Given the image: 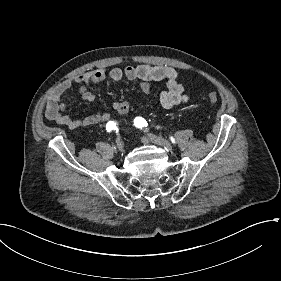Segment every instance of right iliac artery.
I'll use <instances>...</instances> for the list:
<instances>
[{"instance_id": "82829eb1", "label": "right iliac artery", "mask_w": 281, "mask_h": 281, "mask_svg": "<svg viewBox=\"0 0 281 281\" xmlns=\"http://www.w3.org/2000/svg\"><path fill=\"white\" fill-rule=\"evenodd\" d=\"M117 127H116V123L114 121H109L106 125V130L108 132H111L112 130H115Z\"/></svg>"}]
</instances>
